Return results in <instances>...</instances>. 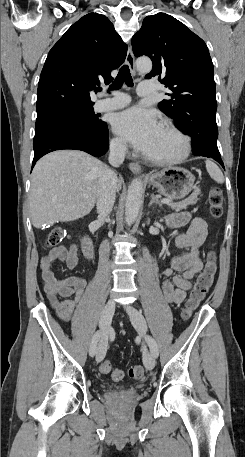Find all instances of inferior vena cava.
Returning <instances> with one entry per match:
<instances>
[{
    "instance_id": "602c4592",
    "label": "inferior vena cava",
    "mask_w": 245,
    "mask_h": 457,
    "mask_svg": "<svg viewBox=\"0 0 245 457\" xmlns=\"http://www.w3.org/2000/svg\"><path fill=\"white\" fill-rule=\"evenodd\" d=\"M127 150L126 142L123 138H118L110 144L109 162L112 166H120L125 158ZM117 184V174L110 168L101 170L98 178V192H97V212L98 220L96 222H103L104 218L108 216L113 208L115 202V192Z\"/></svg>"
}]
</instances>
